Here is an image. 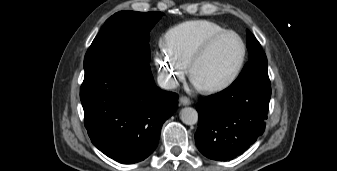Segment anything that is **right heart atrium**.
Here are the masks:
<instances>
[{"label": "right heart atrium", "mask_w": 337, "mask_h": 171, "mask_svg": "<svg viewBox=\"0 0 337 171\" xmlns=\"http://www.w3.org/2000/svg\"><path fill=\"white\" fill-rule=\"evenodd\" d=\"M155 60L160 76L169 86H175L187 72V66L175 58L164 43L158 45Z\"/></svg>", "instance_id": "obj_1"}]
</instances>
